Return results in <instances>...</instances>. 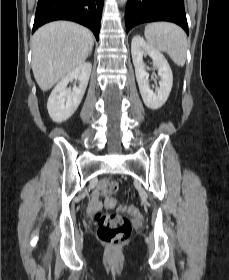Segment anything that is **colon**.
<instances>
[{
	"label": "colon",
	"mask_w": 229,
	"mask_h": 280,
	"mask_svg": "<svg viewBox=\"0 0 229 280\" xmlns=\"http://www.w3.org/2000/svg\"><path fill=\"white\" fill-rule=\"evenodd\" d=\"M118 188L114 180L105 179L101 182V189L106 195L114 193ZM133 215H139L136 208H132ZM98 238L105 244L117 246L131 234V226L127 218L116 214H105L98 211L95 214Z\"/></svg>",
	"instance_id": "colon-1"
}]
</instances>
